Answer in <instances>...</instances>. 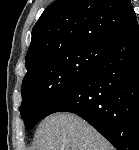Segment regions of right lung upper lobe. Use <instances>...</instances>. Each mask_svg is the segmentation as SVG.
<instances>
[{"mask_svg": "<svg viewBox=\"0 0 139 150\" xmlns=\"http://www.w3.org/2000/svg\"><path fill=\"white\" fill-rule=\"evenodd\" d=\"M135 20L129 0H56L33 27L27 74L56 54L108 46Z\"/></svg>", "mask_w": 139, "mask_h": 150, "instance_id": "1", "label": "right lung upper lobe"}]
</instances>
